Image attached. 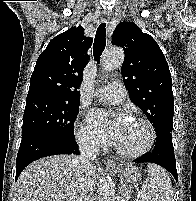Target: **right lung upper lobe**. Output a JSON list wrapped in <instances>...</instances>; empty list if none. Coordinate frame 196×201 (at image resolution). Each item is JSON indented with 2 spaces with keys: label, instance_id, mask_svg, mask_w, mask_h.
I'll return each mask as SVG.
<instances>
[{
  "label": "right lung upper lobe",
  "instance_id": "1",
  "mask_svg": "<svg viewBox=\"0 0 196 201\" xmlns=\"http://www.w3.org/2000/svg\"><path fill=\"white\" fill-rule=\"evenodd\" d=\"M91 44L92 38L85 37L80 26L54 37L37 59L27 100L45 98L79 102L77 89L89 58L86 51Z\"/></svg>",
  "mask_w": 196,
  "mask_h": 201
}]
</instances>
